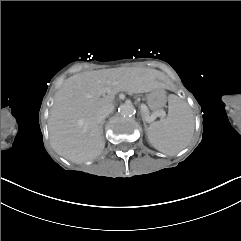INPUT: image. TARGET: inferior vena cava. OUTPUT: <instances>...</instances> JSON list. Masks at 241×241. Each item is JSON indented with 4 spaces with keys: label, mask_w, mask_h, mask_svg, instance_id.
Masks as SVG:
<instances>
[{
    "label": "inferior vena cava",
    "mask_w": 241,
    "mask_h": 241,
    "mask_svg": "<svg viewBox=\"0 0 241 241\" xmlns=\"http://www.w3.org/2000/svg\"><path fill=\"white\" fill-rule=\"evenodd\" d=\"M114 106L111 105L107 107L106 109L101 110L97 115H96V122L101 125L104 123L105 118L113 111Z\"/></svg>",
    "instance_id": "602c4592"
}]
</instances>
